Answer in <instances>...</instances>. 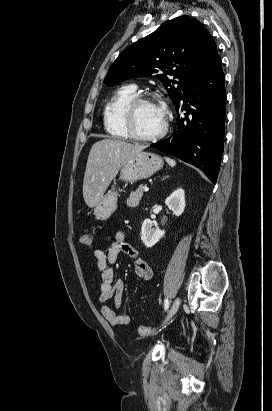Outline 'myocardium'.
Returning a JSON list of instances; mask_svg holds the SVG:
<instances>
[{
	"instance_id": "myocardium-1",
	"label": "myocardium",
	"mask_w": 272,
	"mask_h": 411,
	"mask_svg": "<svg viewBox=\"0 0 272 411\" xmlns=\"http://www.w3.org/2000/svg\"><path fill=\"white\" fill-rule=\"evenodd\" d=\"M142 103H155V100L148 95H136L133 99H131L128 104L124 108L123 112V122H124V127L128 133V136L136 141H142V142H153L160 140L163 138L169 128V119H168V113L167 110L164 106L160 105V108L162 109L163 113V126L158 131L157 133L153 135H141L139 134L135 127H134V118H135V113L139 105Z\"/></svg>"
}]
</instances>
